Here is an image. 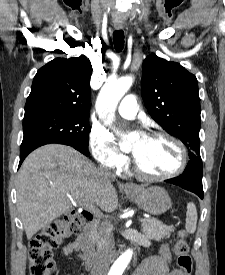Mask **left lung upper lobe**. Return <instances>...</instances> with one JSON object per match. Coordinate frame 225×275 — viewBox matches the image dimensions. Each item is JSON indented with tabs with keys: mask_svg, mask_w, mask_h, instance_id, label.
Wrapping results in <instances>:
<instances>
[{
	"mask_svg": "<svg viewBox=\"0 0 225 275\" xmlns=\"http://www.w3.org/2000/svg\"><path fill=\"white\" fill-rule=\"evenodd\" d=\"M145 106L151 117L188 148L189 158L200 156V99L196 77L175 62L149 55L141 81Z\"/></svg>",
	"mask_w": 225,
	"mask_h": 275,
	"instance_id": "left-lung-upper-lobe-1",
	"label": "left lung upper lobe"
}]
</instances>
